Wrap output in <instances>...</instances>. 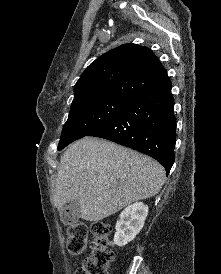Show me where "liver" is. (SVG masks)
I'll list each match as a JSON object with an SVG mask.
<instances>
[{
  "instance_id": "6515ba94",
  "label": "liver",
  "mask_w": 221,
  "mask_h": 274,
  "mask_svg": "<svg viewBox=\"0 0 221 274\" xmlns=\"http://www.w3.org/2000/svg\"><path fill=\"white\" fill-rule=\"evenodd\" d=\"M164 182L165 170L152 158L107 140L85 137L61 156L52 199L58 209L74 200L82 219L99 221L155 196Z\"/></svg>"
}]
</instances>
